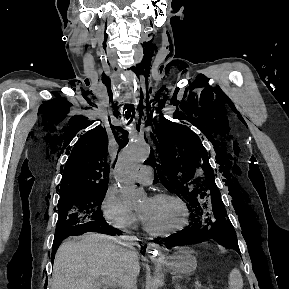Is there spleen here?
Masks as SVG:
<instances>
[{"instance_id":"3e777b00","label":"spleen","mask_w":289,"mask_h":289,"mask_svg":"<svg viewBox=\"0 0 289 289\" xmlns=\"http://www.w3.org/2000/svg\"><path fill=\"white\" fill-rule=\"evenodd\" d=\"M228 284L230 289L243 288V279L240 271L237 268L232 269V271L230 272Z\"/></svg>"}]
</instances>
